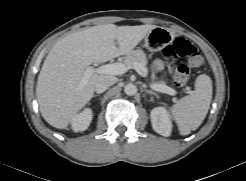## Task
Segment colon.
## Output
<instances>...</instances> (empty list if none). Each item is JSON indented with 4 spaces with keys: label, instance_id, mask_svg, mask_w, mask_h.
<instances>
[{
    "label": "colon",
    "instance_id": "obj_1",
    "mask_svg": "<svg viewBox=\"0 0 246 181\" xmlns=\"http://www.w3.org/2000/svg\"><path fill=\"white\" fill-rule=\"evenodd\" d=\"M162 53L168 60L186 58L193 68H200L204 65V58L200 51L184 38L174 40L163 49ZM174 78L178 86L186 85L189 80V68L185 64L177 65L174 70Z\"/></svg>",
    "mask_w": 246,
    "mask_h": 181
}]
</instances>
